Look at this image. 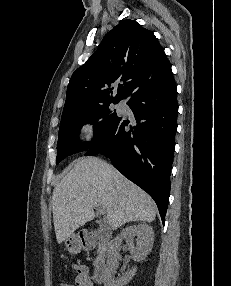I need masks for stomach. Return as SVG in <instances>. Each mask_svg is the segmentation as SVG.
<instances>
[{
  "label": "stomach",
  "mask_w": 231,
  "mask_h": 286,
  "mask_svg": "<svg viewBox=\"0 0 231 286\" xmlns=\"http://www.w3.org/2000/svg\"><path fill=\"white\" fill-rule=\"evenodd\" d=\"M65 246L68 249L69 252L71 253H78L81 250V243L79 238L76 235L70 236L66 241H65Z\"/></svg>",
  "instance_id": "stomach-1"
}]
</instances>
